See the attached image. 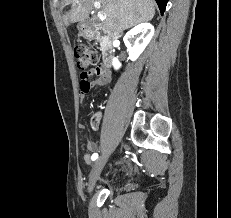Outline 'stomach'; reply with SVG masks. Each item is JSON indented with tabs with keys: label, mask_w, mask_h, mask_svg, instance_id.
<instances>
[{
	"label": "stomach",
	"mask_w": 231,
	"mask_h": 218,
	"mask_svg": "<svg viewBox=\"0 0 231 218\" xmlns=\"http://www.w3.org/2000/svg\"><path fill=\"white\" fill-rule=\"evenodd\" d=\"M78 29H79V32L81 35H84L85 34V25L84 24H79L78 25Z\"/></svg>",
	"instance_id": "stomach-1"
}]
</instances>
